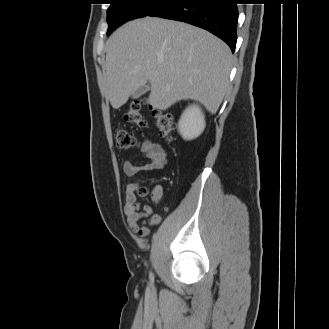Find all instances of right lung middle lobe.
I'll use <instances>...</instances> for the list:
<instances>
[{"label":"right lung middle lobe","mask_w":329,"mask_h":329,"mask_svg":"<svg viewBox=\"0 0 329 329\" xmlns=\"http://www.w3.org/2000/svg\"><path fill=\"white\" fill-rule=\"evenodd\" d=\"M172 0H110L111 6L107 10L109 35L123 23L145 16L161 8Z\"/></svg>","instance_id":"1"}]
</instances>
